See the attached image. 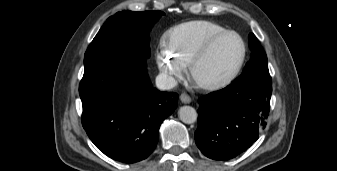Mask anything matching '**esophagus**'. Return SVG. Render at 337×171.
Listing matches in <instances>:
<instances>
[{"label": "esophagus", "mask_w": 337, "mask_h": 171, "mask_svg": "<svg viewBox=\"0 0 337 171\" xmlns=\"http://www.w3.org/2000/svg\"><path fill=\"white\" fill-rule=\"evenodd\" d=\"M180 100L184 104H189L191 102V97L186 93H182L180 95Z\"/></svg>", "instance_id": "34e87169"}]
</instances>
